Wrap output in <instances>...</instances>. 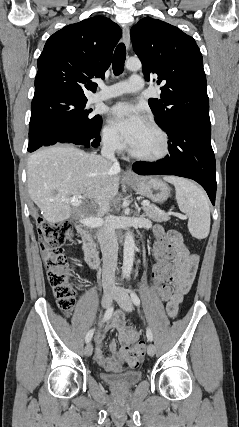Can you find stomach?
Returning <instances> with one entry per match:
<instances>
[{"label": "stomach", "mask_w": 239, "mask_h": 427, "mask_svg": "<svg viewBox=\"0 0 239 427\" xmlns=\"http://www.w3.org/2000/svg\"><path fill=\"white\" fill-rule=\"evenodd\" d=\"M127 185L150 200L162 203L170 195L169 186L158 178L140 177L135 182H127Z\"/></svg>", "instance_id": "1"}]
</instances>
